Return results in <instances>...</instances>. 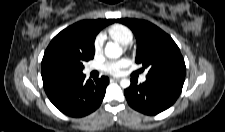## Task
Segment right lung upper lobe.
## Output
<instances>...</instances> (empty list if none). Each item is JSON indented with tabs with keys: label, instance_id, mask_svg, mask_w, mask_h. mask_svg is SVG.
<instances>
[{
	"label": "right lung upper lobe",
	"instance_id": "1",
	"mask_svg": "<svg viewBox=\"0 0 225 132\" xmlns=\"http://www.w3.org/2000/svg\"><path fill=\"white\" fill-rule=\"evenodd\" d=\"M114 22V19L83 20L64 29L59 33V35L77 36L80 37L83 42H91L94 44V39L98 32L105 26ZM61 78L62 77L42 73L43 86L49 85Z\"/></svg>",
	"mask_w": 225,
	"mask_h": 132
}]
</instances>
